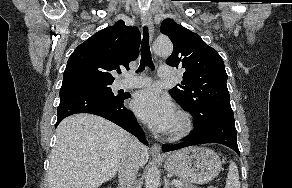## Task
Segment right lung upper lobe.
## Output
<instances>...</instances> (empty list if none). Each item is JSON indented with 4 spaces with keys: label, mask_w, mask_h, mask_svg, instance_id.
Returning <instances> with one entry per match:
<instances>
[{
    "label": "right lung upper lobe",
    "mask_w": 292,
    "mask_h": 188,
    "mask_svg": "<svg viewBox=\"0 0 292 188\" xmlns=\"http://www.w3.org/2000/svg\"><path fill=\"white\" fill-rule=\"evenodd\" d=\"M141 35L136 27L119 20L95 33L70 55L63 80L94 78L114 81L111 71L128 68L139 54Z\"/></svg>",
    "instance_id": "cb5924a9"
}]
</instances>
